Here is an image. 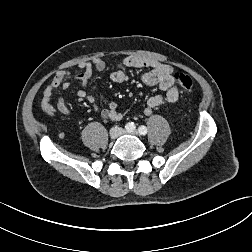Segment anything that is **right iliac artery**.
Returning <instances> with one entry per match:
<instances>
[{
	"instance_id": "right-iliac-artery-1",
	"label": "right iliac artery",
	"mask_w": 252,
	"mask_h": 252,
	"mask_svg": "<svg viewBox=\"0 0 252 252\" xmlns=\"http://www.w3.org/2000/svg\"><path fill=\"white\" fill-rule=\"evenodd\" d=\"M125 128L128 132H131V131L135 130L136 127H135L134 123L131 122V123H127Z\"/></svg>"
}]
</instances>
